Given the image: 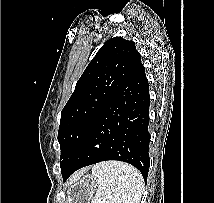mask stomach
Wrapping results in <instances>:
<instances>
[{"label": "stomach", "mask_w": 214, "mask_h": 203, "mask_svg": "<svg viewBox=\"0 0 214 203\" xmlns=\"http://www.w3.org/2000/svg\"><path fill=\"white\" fill-rule=\"evenodd\" d=\"M97 191V182L91 175L83 176L70 185L63 203H90Z\"/></svg>", "instance_id": "0dacf381"}]
</instances>
